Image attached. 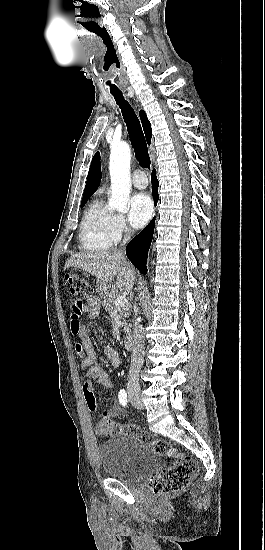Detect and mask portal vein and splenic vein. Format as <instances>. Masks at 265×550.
I'll use <instances>...</instances> for the list:
<instances>
[{
  "label": "portal vein and splenic vein",
  "mask_w": 265,
  "mask_h": 550,
  "mask_svg": "<svg viewBox=\"0 0 265 550\" xmlns=\"http://www.w3.org/2000/svg\"><path fill=\"white\" fill-rule=\"evenodd\" d=\"M128 301V298H126L125 296H119L115 300V306H125L126 304H128Z\"/></svg>",
  "instance_id": "18ae733b"
}]
</instances>
